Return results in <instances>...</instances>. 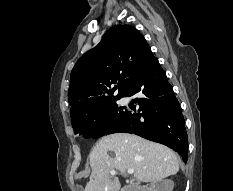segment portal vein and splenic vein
Here are the masks:
<instances>
[{"label":"portal vein and splenic vein","instance_id":"obj_1","mask_svg":"<svg viewBox=\"0 0 233 191\" xmlns=\"http://www.w3.org/2000/svg\"><path fill=\"white\" fill-rule=\"evenodd\" d=\"M127 172H128L129 174H133V173H134V170H133V169H128ZM110 174H111L112 176H114V175H116V171H115V170H112V171L110 172Z\"/></svg>","mask_w":233,"mask_h":191}]
</instances>
